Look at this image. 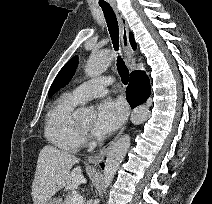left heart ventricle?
<instances>
[{"label": "left heart ventricle", "instance_id": "obj_1", "mask_svg": "<svg viewBox=\"0 0 212 204\" xmlns=\"http://www.w3.org/2000/svg\"><path fill=\"white\" fill-rule=\"evenodd\" d=\"M92 123H93V119H88V120H85V121L81 122V125L84 128L89 129L92 126Z\"/></svg>", "mask_w": 212, "mask_h": 204}]
</instances>
